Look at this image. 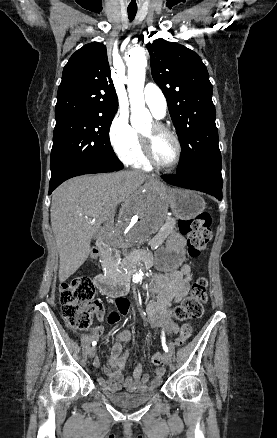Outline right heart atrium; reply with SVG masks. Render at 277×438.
Listing matches in <instances>:
<instances>
[{"instance_id":"d8ad5b80","label":"right heart atrium","mask_w":277,"mask_h":438,"mask_svg":"<svg viewBox=\"0 0 277 438\" xmlns=\"http://www.w3.org/2000/svg\"><path fill=\"white\" fill-rule=\"evenodd\" d=\"M111 144L119 156L124 159L130 158L136 151L138 136L128 121L125 112L119 111L109 130Z\"/></svg>"}]
</instances>
